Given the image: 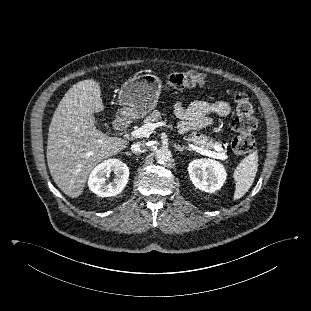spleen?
Masks as SVG:
<instances>
[{
    "instance_id": "spleen-1",
    "label": "spleen",
    "mask_w": 311,
    "mask_h": 311,
    "mask_svg": "<svg viewBox=\"0 0 311 311\" xmlns=\"http://www.w3.org/2000/svg\"><path fill=\"white\" fill-rule=\"evenodd\" d=\"M258 169V153L253 151L245 157L234 171V200L243 197L252 186Z\"/></svg>"
}]
</instances>
